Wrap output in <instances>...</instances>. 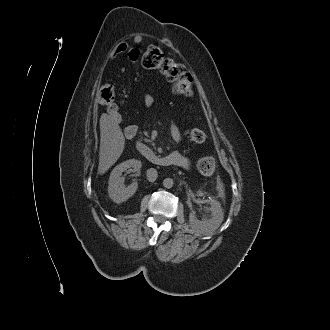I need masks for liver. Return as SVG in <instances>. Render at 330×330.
<instances>
[{
	"mask_svg": "<svg viewBox=\"0 0 330 330\" xmlns=\"http://www.w3.org/2000/svg\"><path fill=\"white\" fill-rule=\"evenodd\" d=\"M98 174H104L121 156L125 138L118 123L107 114L100 118Z\"/></svg>",
	"mask_w": 330,
	"mask_h": 330,
	"instance_id": "obj_1",
	"label": "liver"
}]
</instances>
